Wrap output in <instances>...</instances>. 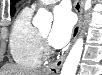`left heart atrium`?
I'll return each instance as SVG.
<instances>
[{"label": "left heart atrium", "instance_id": "1", "mask_svg": "<svg viewBox=\"0 0 102 75\" xmlns=\"http://www.w3.org/2000/svg\"><path fill=\"white\" fill-rule=\"evenodd\" d=\"M74 24L73 14L65 5L56 7L53 25L49 33L51 46L55 48L64 47L70 40Z\"/></svg>", "mask_w": 102, "mask_h": 75}]
</instances>
